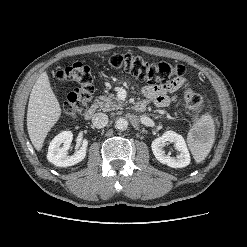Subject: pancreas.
Masks as SVG:
<instances>
[{
    "label": "pancreas",
    "instance_id": "pancreas-1",
    "mask_svg": "<svg viewBox=\"0 0 247 247\" xmlns=\"http://www.w3.org/2000/svg\"><path fill=\"white\" fill-rule=\"evenodd\" d=\"M97 101V105L99 106L100 110L106 112L111 110H118L124 107V103L118 99L112 93H107L105 95L99 96Z\"/></svg>",
    "mask_w": 247,
    "mask_h": 247
}]
</instances>
